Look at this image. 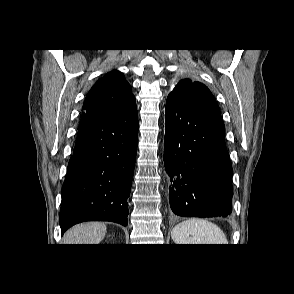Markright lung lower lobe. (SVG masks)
I'll return each instance as SVG.
<instances>
[{
    "label": "right lung lower lobe",
    "instance_id": "98d812e1",
    "mask_svg": "<svg viewBox=\"0 0 294 294\" xmlns=\"http://www.w3.org/2000/svg\"><path fill=\"white\" fill-rule=\"evenodd\" d=\"M137 142L135 99L112 113L81 118L62 187V234L84 221L128 224Z\"/></svg>",
    "mask_w": 294,
    "mask_h": 294
}]
</instances>
